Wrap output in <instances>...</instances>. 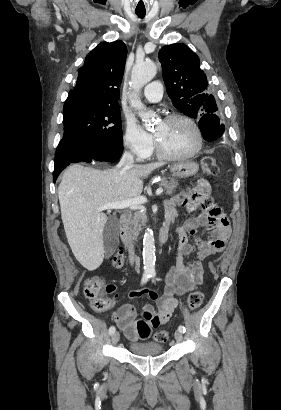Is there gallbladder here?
I'll list each match as a JSON object with an SVG mask.
<instances>
[{
  "mask_svg": "<svg viewBox=\"0 0 281 410\" xmlns=\"http://www.w3.org/2000/svg\"><path fill=\"white\" fill-rule=\"evenodd\" d=\"M119 244L118 220L110 216L103 230V245L106 256H111Z\"/></svg>",
  "mask_w": 281,
  "mask_h": 410,
  "instance_id": "gallbladder-1",
  "label": "gallbladder"
}]
</instances>
